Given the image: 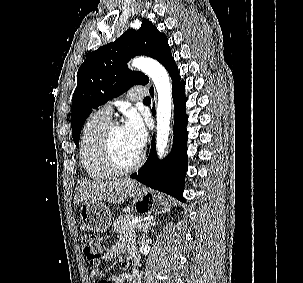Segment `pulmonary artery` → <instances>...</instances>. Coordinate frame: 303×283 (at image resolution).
<instances>
[{
    "label": "pulmonary artery",
    "instance_id": "1",
    "mask_svg": "<svg viewBox=\"0 0 303 283\" xmlns=\"http://www.w3.org/2000/svg\"><path fill=\"white\" fill-rule=\"evenodd\" d=\"M146 95H147V89L146 87L143 86H134L130 88L127 93V97L131 100H140L142 98H145ZM100 111L104 115L111 118L113 114V107L111 104H106L100 109Z\"/></svg>",
    "mask_w": 303,
    "mask_h": 283
}]
</instances>
